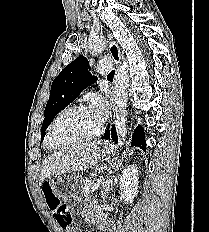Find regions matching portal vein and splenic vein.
<instances>
[{"instance_id": "1", "label": "portal vein and splenic vein", "mask_w": 209, "mask_h": 232, "mask_svg": "<svg viewBox=\"0 0 209 232\" xmlns=\"http://www.w3.org/2000/svg\"><path fill=\"white\" fill-rule=\"evenodd\" d=\"M101 182H102L101 179L97 180V182H96V183L93 185V187L91 188V192L96 191V190L99 188Z\"/></svg>"}]
</instances>
